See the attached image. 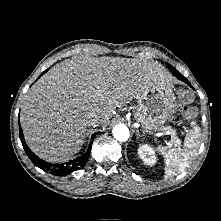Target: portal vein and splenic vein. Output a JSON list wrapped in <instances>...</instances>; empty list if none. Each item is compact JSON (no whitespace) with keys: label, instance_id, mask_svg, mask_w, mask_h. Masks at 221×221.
Returning a JSON list of instances; mask_svg holds the SVG:
<instances>
[{"label":"portal vein and splenic vein","instance_id":"1","mask_svg":"<svg viewBox=\"0 0 221 221\" xmlns=\"http://www.w3.org/2000/svg\"><path fill=\"white\" fill-rule=\"evenodd\" d=\"M169 134L171 135L172 141H176V140H177L175 133L169 132ZM164 135H165V134H162V136H164Z\"/></svg>","mask_w":221,"mask_h":221}]
</instances>
